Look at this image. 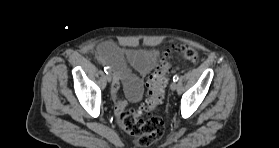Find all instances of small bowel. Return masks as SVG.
<instances>
[{
  "mask_svg": "<svg viewBox=\"0 0 279 148\" xmlns=\"http://www.w3.org/2000/svg\"><path fill=\"white\" fill-rule=\"evenodd\" d=\"M98 58L102 64L111 67L114 71L112 98L115 103V113L119 116L126 106V100L119 95L121 85H123L126 98L131 102H138L143 94L142 79L134 74L130 67L139 75L145 76L156 66L158 52L154 50L122 52L113 42L105 41L98 47Z\"/></svg>",
  "mask_w": 279,
  "mask_h": 148,
  "instance_id": "c3829d8e",
  "label": "small bowel"
}]
</instances>
